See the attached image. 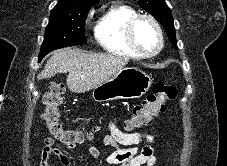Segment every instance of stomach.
Listing matches in <instances>:
<instances>
[{
    "mask_svg": "<svg viewBox=\"0 0 227 166\" xmlns=\"http://www.w3.org/2000/svg\"><path fill=\"white\" fill-rule=\"evenodd\" d=\"M149 75L137 67H124L107 82L95 87L92 97L97 102L142 97L150 88Z\"/></svg>",
    "mask_w": 227,
    "mask_h": 166,
    "instance_id": "stomach-1",
    "label": "stomach"
}]
</instances>
